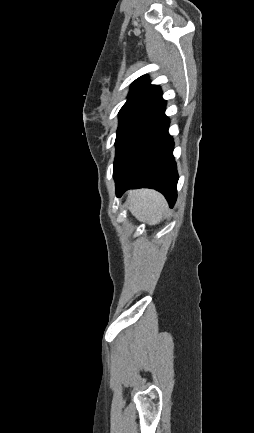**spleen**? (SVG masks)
Here are the masks:
<instances>
[{
  "instance_id": "1",
  "label": "spleen",
  "mask_w": 254,
  "mask_h": 433,
  "mask_svg": "<svg viewBox=\"0 0 254 433\" xmlns=\"http://www.w3.org/2000/svg\"><path fill=\"white\" fill-rule=\"evenodd\" d=\"M167 203L156 191L142 189L135 191L129 201V210L135 218L150 225L159 224Z\"/></svg>"
}]
</instances>
